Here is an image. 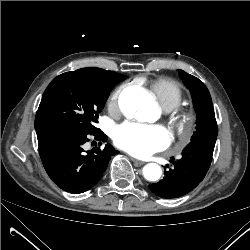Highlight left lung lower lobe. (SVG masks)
<instances>
[{
    "label": "left lung lower lobe",
    "mask_w": 250,
    "mask_h": 250,
    "mask_svg": "<svg viewBox=\"0 0 250 250\" xmlns=\"http://www.w3.org/2000/svg\"><path fill=\"white\" fill-rule=\"evenodd\" d=\"M215 142L216 136L193 140L180 160L171 161L174 167L164 172V178L149 185L150 190L161 198H175L195 188L210 167Z\"/></svg>",
    "instance_id": "1"
}]
</instances>
